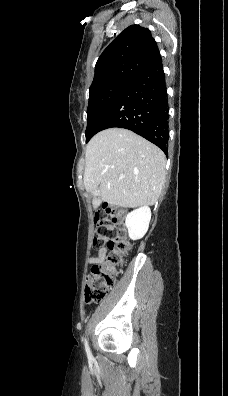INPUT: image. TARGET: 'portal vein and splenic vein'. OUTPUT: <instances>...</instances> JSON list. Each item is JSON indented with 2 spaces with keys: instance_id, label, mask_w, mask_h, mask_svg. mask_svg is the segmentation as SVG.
Here are the masks:
<instances>
[{
  "instance_id": "1",
  "label": "portal vein and splenic vein",
  "mask_w": 228,
  "mask_h": 396,
  "mask_svg": "<svg viewBox=\"0 0 228 396\" xmlns=\"http://www.w3.org/2000/svg\"><path fill=\"white\" fill-rule=\"evenodd\" d=\"M120 178H121V179L124 178V175H121Z\"/></svg>"
}]
</instances>
